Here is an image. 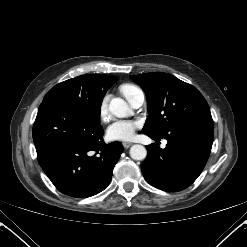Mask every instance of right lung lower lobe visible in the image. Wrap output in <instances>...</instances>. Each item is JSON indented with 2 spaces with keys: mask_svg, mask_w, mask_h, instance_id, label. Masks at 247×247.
<instances>
[{
  "mask_svg": "<svg viewBox=\"0 0 247 247\" xmlns=\"http://www.w3.org/2000/svg\"><path fill=\"white\" fill-rule=\"evenodd\" d=\"M100 119L73 107L40 105L33 126L38 162L63 194L85 198L103 191L123 147L105 144Z\"/></svg>",
  "mask_w": 247,
  "mask_h": 247,
  "instance_id": "98d812e1",
  "label": "right lung lower lobe"
}]
</instances>
